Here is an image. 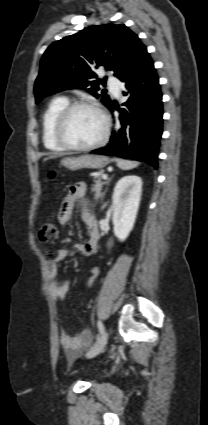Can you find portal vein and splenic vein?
<instances>
[{
	"label": "portal vein and splenic vein",
	"instance_id": "obj_1",
	"mask_svg": "<svg viewBox=\"0 0 208 425\" xmlns=\"http://www.w3.org/2000/svg\"><path fill=\"white\" fill-rule=\"evenodd\" d=\"M102 179H103V180H107V179H108V176H107L106 174H103V175H102Z\"/></svg>",
	"mask_w": 208,
	"mask_h": 425
}]
</instances>
